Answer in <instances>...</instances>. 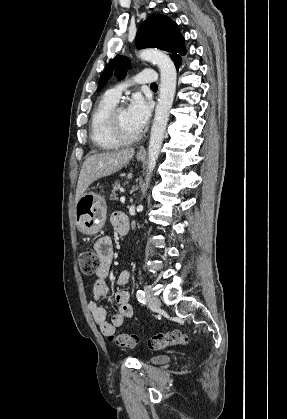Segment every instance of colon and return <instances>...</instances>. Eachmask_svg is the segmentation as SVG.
<instances>
[{
	"label": "colon",
	"instance_id": "5ec220e1",
	"mask_svg": "<svg viewBox=\"0 0 287 419\" xmlns=\"http://www.w3.org/2000/svg\"><path fill=\"white\" fill-rule=\"evenodd\" d=\"M100 257L92 250H85L80 254L79 265L84 275L95 274L100 267ZM109 341L117 346L124 348H133L139 343L138 336L134 334L108 335ZM189 342L186 334L179 330H173L166 333H159L149 339L148 346L152 350H159L168 346L185 345Z\"/></svg>",
	"mask_w": 287,
	"mask_h": 419
}]
</instances>
